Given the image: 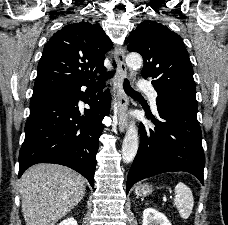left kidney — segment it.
<instances>
[{"label":"left kidney","instance_id":"1","mask_svg":"<svg viewBox=\"0 0 228 225\" xmlns=\"http://www.w3.org/2000/svg\"><path fill=\"white\" fill-rule=\"evenodd\" d=\"M142 219L143 225H171L165 215H162L156 209H152V207H148V209L143 211Z\"/></svg>","mask_w":228,"mask_h":225}]
</instances>
